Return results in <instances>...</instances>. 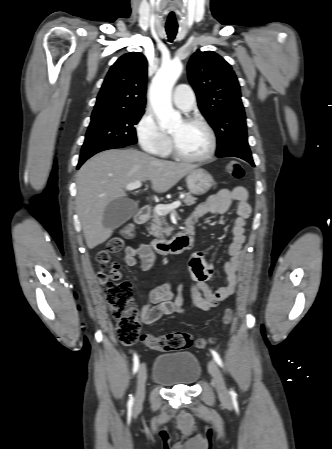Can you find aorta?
I'll return each instance as SVG.
<instances>
[{
	"instance_id": "aorta-1",
	"label": "aorta",
	"mask_w": 332,
	"mask_h": 449,
	"mask_svg": "<svg viewBox=\"0 0 332 449\" xmlns=\"http://www.w3.org/2000/svg\"><path fill=\"white\" fill-rule=\"evenodd\" d=\"M183 65L180 61L163 64L152 80L149 92L151 106L163 129H172L181 123V115L172 107L171 93L181 75Z\"/></svg>"
}]
</instances>
